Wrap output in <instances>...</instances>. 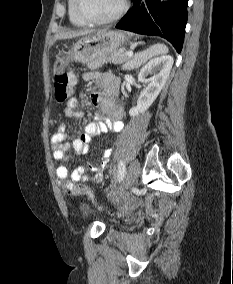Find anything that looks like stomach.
I'll return each mask as SVG.
<instances>
[{
    "label": "stomach",
    "mask_w": 233,
    "mask_h": 284,
    "mask_svg": "<svg viewBox=\"0 0 233 284\" xmlns=\"http://www.w3.org/2000/svg\"><path fill=\"white\" fill-rule=\"evenodd\" d=\"M129 38L121 32L101 30L85 36L75 43L67 53L68 57L57 55L53 64L54 76L64 72L69 61L90 64L127 44Z\"/></svg>",
    "instance_id": "1"
}]
</instances>
